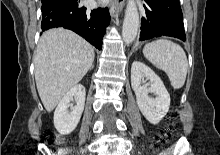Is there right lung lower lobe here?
Wrapping results in <instances>:
<instances>
[{
	"label": "right lung lower lobe",
	"instance_id": "obj_1",
	"mask_svg": "<svg viewBox=\"0 0 220 155\" xmlns=\"http://www.w3.org/2000/svg\"><path fill=\"white\" fill-rule=\"evenodd\" d=\"M79 0H44L42 1L43 31L53 27H64L74 31L99 50L102 38L110 21L107 8L87 11L79 6Z\"/></svg>",
	"mask_w": 220,
	"mask_h": 155
}]
</instances>
